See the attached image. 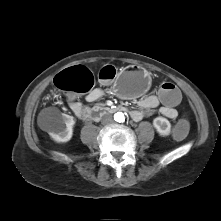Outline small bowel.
<instances>
[{"label": "small bowel", "mask_w": 221, "mask_h": 221, "mask_svg": "<svg viewBox=\"0 0 221 221\" xmlns=\"http://www.w3.org/2000/svg\"><path fill=\"white\" fill-rule=\"evenodd\" d=\"M103 95L104 91L101 88L92 89L86 95V101L89 103L96 102L97 100L101 99ZM68 99L69 107L73 111V113L78 118H84V115L88 110V107L84 106L81 102L76 100L74 96L69 95ZM138 105L140 109L131 111V117L135 121H140L144 117L152 115L156 109H158L159 112L168 119H175L178 116L177 109H170L164 107L158 99L157 95H148L141 97L138 100Z\"/></svg>", "instance_id": "small-bowel-1"}]
</instances>
